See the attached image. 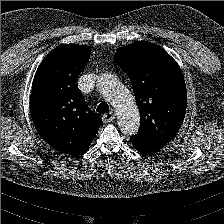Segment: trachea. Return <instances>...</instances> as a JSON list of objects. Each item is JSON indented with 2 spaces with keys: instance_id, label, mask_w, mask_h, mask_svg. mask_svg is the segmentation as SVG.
<instances>
[{
  "instance_id": "obj_1",
  "label": "trachea",
  "mask_w": 224,
  "mask_h": 224,
  "mask_svg": "<svg viewBox=\"0 0 224 224\" xmlns=\"http://www.w3.org/2000/svg\"><path fill=\"white\" fill-rule=\"evenodd\" d=\"M99 113H107L109 111V106L106 102H101L96 109Z\"/></svg>"
}]
</instances>
